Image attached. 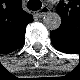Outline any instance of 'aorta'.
Segmentation results:
<instances>
[{"label":"aorta","instance_id":"762f6f07","mask_svg":"<svg viewBox=\"0 0 80 80\" xmlns=\"http://www.w3.org/2000/svg\"><path fill=\"white\" fill-rule=\"evenodd\" d=\"M59 18V16H57ZM59 27V23L56 24V28Z\"/></svg>","mask_w":80,"mask_h":80}]
</instances>
